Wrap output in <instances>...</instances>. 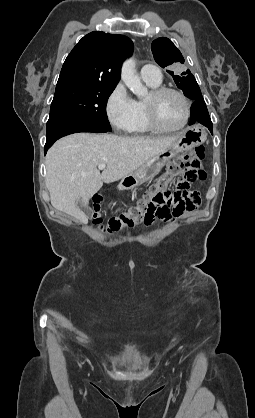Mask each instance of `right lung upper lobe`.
<instances>
[{"instance_id": "1", "label": "right lung upper lobe", "mask_w": 255, "mask_h": 418, "mask_svg": "<svg viewBox=\"0 0 255 418\" xmlns=\"http://www.w3.org/2000/svg\"><path fill=\"white\" fill-rule=\"evenodd\" d=\"M133 42L124 35L94 31L84 36L66 58L57 85L79 82L116 86Z\"/></svg>"}]
</instances>
